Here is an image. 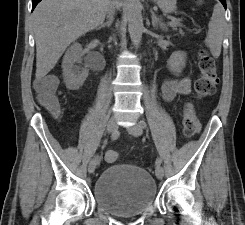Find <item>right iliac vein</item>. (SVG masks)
I'll return each mask as SVG.
<instances>
[{"instance_id": "1", "label": "right iliac vein", "mask_w": 245, "mask_h": 225, "mask_svg": "<svg viewBox=\"0 0 245 225\" xmlns=\"http://www.w3.org/2000/svg\"><path fill=\"white\" fill-rule=\"evenodd\" d=\"M117 128L118 126H117L115 118H111L107 122V127H106L107 132L113 134L114 132L117 131ZM95 168H96V162H95V159H92L88 165V172L94 173Z\"/></svg>"}]
</instances>
